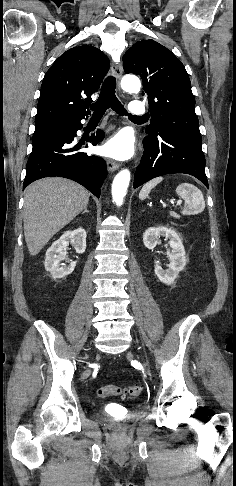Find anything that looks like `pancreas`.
Returning a JSON list of instances; mask_svg holds the SVG:
<instances>
[{"label":"pancreas","instance_id":"obj_1","mask_svg":"<svg viewBox=\"0 0 236 486\" xmlns=\"http://www.w3.org/2000/svg\"><path fill=\"white\" fill-rule=\"evenodd\" d=\"M171 215H172L173 217H175V218H180V216H179V215H177L176 213H172Z\"/></svg>","mask_w":236,"mask_h":486}]
</instances>
